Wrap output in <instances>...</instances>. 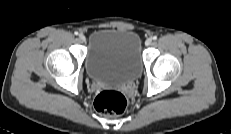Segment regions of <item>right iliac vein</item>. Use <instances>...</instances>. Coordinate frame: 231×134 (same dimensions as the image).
<instances>
[{
	"mask_svg": "<svg viewBox=\"0 0 231 134\" xmlns=\"http://www.w3.org/2000/svg\"><path fill=\"white\" fill-rule=\"evenodd\" d=\"M79 40L81 42H84L86 40V37L81 33V34H79Z\"/></svg>",
	"mask_w": 231,
	"mask_h": 134,
	"instance_id": "obj_1",
	"label": "right iliac vein"
}]
</instances>
